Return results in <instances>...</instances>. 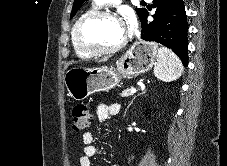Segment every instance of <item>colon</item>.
Returning a JSON list of instances; mask_svg holds the SVG:
<instances>
[{
    "mask_svg": "<svg viewBox=\"0 0 227 166\" xmlns=\"http://www.w3.org/2000/svg\"><path fill=\"white\" fill-rule=\"evenodd\" d=\"M90 120L91 115L85 104L79 103L73 107L71 112V121L72 129L75 132L84 131L88 127Z\"/></svg>",
    "mask_w": 227,
    "mask_h": 166,
    "instance_id": "1",
    "label": "colon"
}]
</instances>
